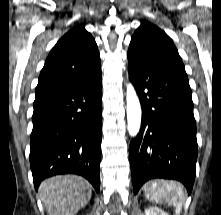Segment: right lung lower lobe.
<instances>
[{"instance_id":"98d812e1","label":"right lung lower lobe","mask_w":221,"mask_h":215,"mask_svg":"<svg viewBox=\"0 0 221 215\" xmlns=\"http://www.w3.org/2000/svg\"><path fill=\"white\" fill-rule=\"evenodd\" d=\"M101 72L92 79L34 103L30 166L37 190L57 174H78L100 189Z\"/></svg>"}]
</instances>
